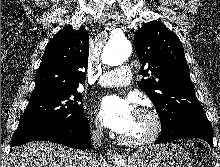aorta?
Returning a JSON list of instances; mask_svg holds the SVG:
<instances>
[{
  "label": "aorta",
  "mask_w": 220,
  "mask_h": 167,
  "mask_svg": "<svg viewBox=\"0 0 220 167\" xmlns=\"http://www.w3.org/2000/svg\"><path fill=\"white\" fill-rule=\"evenodd\" d=\"M132 52L131 43L125 37H114L109 40L101 55L102 62L109 66L123 64Z\"/></svg>",
  "instance_id": "762f6f07"
}]
</instances>
